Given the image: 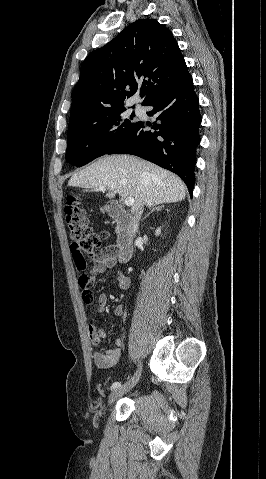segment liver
<instances>
[{"instance_id": "obj_1", "label": "liver", "mask_w": 266, "mask_h": 479, "mask_svg": "<svg viewBox=\"0 0 266 479\" xmlns=\"http://www.w3.org/2000/svg\"><path fill=\"white\" fill-rule=\"evenodd\" d=\"M68 186L97 189L105 186L106 197H133L132 211L140 205L152 207L182 201L186 186L174 173L148 161L129 156H104L74 174Z\"/></svg>"}]
</instances>
